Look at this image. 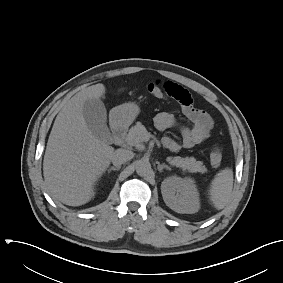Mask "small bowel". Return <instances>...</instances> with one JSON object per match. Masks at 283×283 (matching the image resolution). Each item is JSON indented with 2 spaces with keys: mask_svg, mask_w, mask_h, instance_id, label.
<instances>
[{
  "mask_svg": "<svg viewBox=\"0 0 283 283\" xmlns=\"http://www.w3.org/2000/svg\"><path fill=\"white\" fill-rule=\"evenodd\" d=\"M164 97L175 99L181 106L182 113L189 120V127L182 126L180 131L182 141H177L170 136H164L163 145L171 152H179L182 148H192L203 143L211 133L213 121L208 113L194 107L193 98L183 86L167 81L162 84ZM155 127L159 131H165L177 126L178 122L174 115L168 112H160L154 118Z\"/></svg>",
  "mask_w": 283,
  "mask_h": 283,
  "instance_id": "c3829d8e",
  "label": "small bowel"
}]
</instances>
